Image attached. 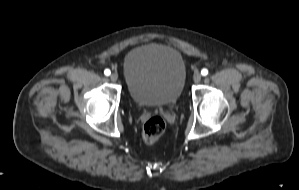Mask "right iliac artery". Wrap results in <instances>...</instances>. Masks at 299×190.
I'll return each instance as SVG.
<instances>
[{
  "mask_svg": "<svg viewBox=\"0 0 299 190\" xmlns=\"http://www.w3.org/2000/svg\"><path fill=\"white\" fill-rule=\"evenodd\" d=\"M104 74L106 76H109L111 74V71L109 69H105Z\"/></svg>",
  "mask_w": 299,
  "mask_h": 190,
  "instance_id": "obj_1",
  "label": "right iliac artery"
}]
</instances>
